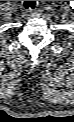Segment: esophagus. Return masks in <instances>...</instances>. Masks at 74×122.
Here are the masks:
<instances>
[{"label":"esophagus","mask_w":74,"mask_h":122,"mask_svg":"<svg viewBox=\"0 0 74 122\" xmlns=\"http://www.w3.org/2000/svg\"><path fill=\"white\" fill-rule=\"evenodd\" d=\"M27 13L30 15V16H37L38 15V10H33V9H29L27 11Z\"/></svg>","instance_id":"esophagus-1"}]
</instances>
